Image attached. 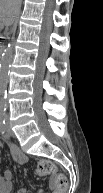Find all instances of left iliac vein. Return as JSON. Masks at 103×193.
<instances>
[{
  "instance_id": "left-iliac-vein-1",
  "label": "left iliac vein",
  "mask_w": 103,
  "mask_h": 193,
  "mask_svg": "<svg viewBox=\"0 0 103 193\" xmlns=\"http://www.w3.org/2000/svg\"><path fill=\"white\" fill-rule=\"evenodd\" d=\"M6 131L9 135H13V131L10 127V123H9L8 119H7V122H6Z\"/></svg>"
}]
</instances>
